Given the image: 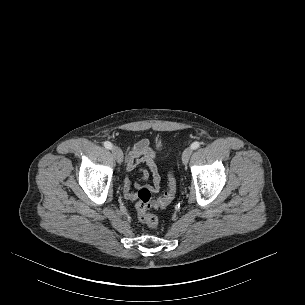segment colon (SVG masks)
<instances>
[{"label":"colon","instance_id":"obj_1","mask_svg":"<svg viewBox=\"0 0 305 305\" xmlns=\"http://www.w3.org/2000/svg\"><path fill=\"white\" fill-rule=\"evenodd\" d=\"M176 191V180L171 173L168 174L167 190L160 198L153 199L150 189L141 188L137 193V202L135 204L138 219L148 228L152 230L157 229L159 220L157 216L150 213V209L168 206L173 201Z\"/></svg>","mask_w":305,"mask_h":305}]
</instances>
